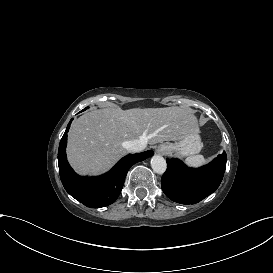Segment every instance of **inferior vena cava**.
Returning <instances> with one entry per match:
<instances>
[{
  "label": "inferior vena cava",
  "mask_w": 273,
  "mask_h": 273,
  "mask_svg": "<svg viewBox=\"0 0 273 273\" xmlns=\"http://www.w3.org/2000/svg\"><path fill=\"white\" fill-rule=\"evenodd\" d=\"M147 146V142L143 140H133L125 142V148L131 152H140Z\"/></svg>",
  "instance_id": "obj_1"
}]
</instances>
